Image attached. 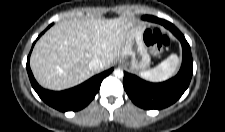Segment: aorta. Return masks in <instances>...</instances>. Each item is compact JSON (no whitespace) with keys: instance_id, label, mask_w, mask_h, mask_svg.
I'll return each mask as SVG.
<instances>
[{"instance_id":"obj_1","label":"aorta","mask_w":225,"mask_h":132,"mask_svg":"<svg viewBox=\"0 0 225 132\" xmlns=\"http://www.w3.org/2000/svg\"><path fill=\"white\" fill-rule=\"evenodd\" d=\"M114 76L117 77V78H122L124 73L121 69H115L114 72H113Z\"/></svg>"}]
</instances>
